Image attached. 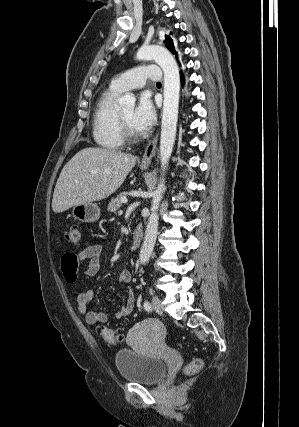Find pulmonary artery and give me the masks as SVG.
Here are the masks:
<instances>
[{"instance_id":"obj_1","label":"pulmonary artery","mask_w":299,"mask_h":427,"mask_svg":"<svg viewBox=\"0 0 299 427\" xmlns=\"http://www.w3.org/2000/svg\"><path fill=\"white\" fill-rule=\"evenodd\" d=\"M162 71L154 65H144L130 69L112 81V86L120 92L144 87L147 80L160 81Z\"/></svg>"}]
</instances>
